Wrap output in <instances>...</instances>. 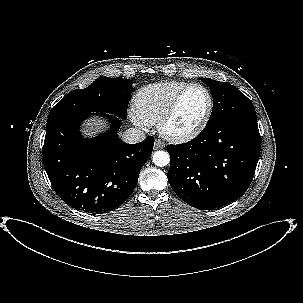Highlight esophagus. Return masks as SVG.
<instances>
[{
  "mask_svg": "<svg viewBox=\"0 0 303 303\" xmlns=\"http://www.w3.org/2000/svg\"><path fill=\"white\" fill-rule=\"evenodd\" d=\"M163 148H165V143L156 139L155 142H154V149L158 150V149H163Z\"/></svg>",
  "mask_w": 303,
  "mask_h": 303,
  "instance_id": "1",
  "label": "esophagus"
}]
</instances>
